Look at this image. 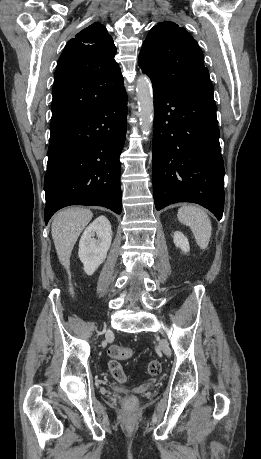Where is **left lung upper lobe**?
Returning a JSON list of instances; mask_svg holds the SVG:
<instances>
[{
	"label": "left lung upper lobe",
	"mask_w": 261,
	"mask_h": 459,
	"mask_svg": "<svg viewBox=\"0 0 261 459\" xmlns=\"http://www.w3.org/2000/svg\"><path fill=\"white\" fill-rule=\"evenodd\" d=\"M138 64L155 85L179 93L213 97V85L199 45L173 22L158 23L150 30Z\"/></svg>",
	"instance_id": "1"
}]
</instances>
